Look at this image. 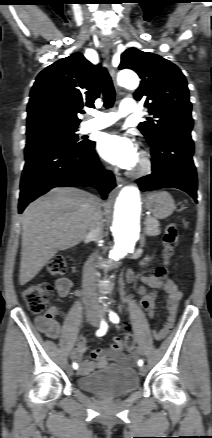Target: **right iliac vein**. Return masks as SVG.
<instances>
[{
    "label": "right iliac vein",
    "instance_id": "1",
    "mask_svg": "<svg viewBox=\"0 0 212 438\" xmlns=\"http://www.w3.org/2000/svg\"><path fill=\"white\" fill-rule=\"evenodd\" d=\"M89 322H90L92 325H94V326H97V325H98V320H97V318L94 317V316L89 318ZM67 372H68L69 374H72V373H73L72 368H71V367H67Z\"/></svg>",
    "mask_w": 212,
    "mask_h": 438
}]
</instances>
